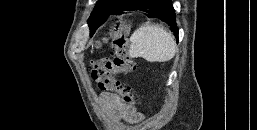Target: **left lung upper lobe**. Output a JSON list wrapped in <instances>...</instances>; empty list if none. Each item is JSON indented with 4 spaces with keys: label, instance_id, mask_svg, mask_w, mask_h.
<instances>
[{
    "label": "left lung upper lobe",
    "instance_id": "left-lung-upper-lobe-1",
    "mask_svg": "<svg viewBox=\"0 0 257 130\" xmlns=\"http://www.w3.org/2000/svg\"><path fill=\"white\" fill-rule=\"evenodd\" d=\"M127 2L128 0H99L88 19L91 36L114 10L120 8Z\"/></svg>",
    "mask_w": 257,
    "mask_h": 130
}]
</instances>
